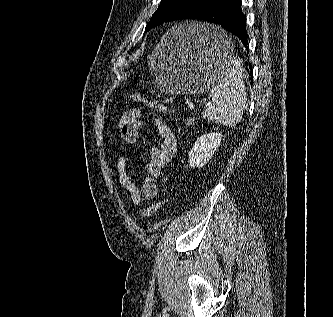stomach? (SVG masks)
<instances>
[{"mask_svg": "<svg viewBox=\"0 0 333 317\" xmlns=\"http://www.w3.org/2000/svg\"><path fill=\"white\" fill-rule=\"evenodd\" d=\"M218 24L188 23L169 29L148 57L154 85L162 95H206L219 74L235 69L241 55Z\"/></svg>", "mask_w": 333, "mask_h": 317, "instance_id": "obj_1", "label": "stomach"}]
</instances>
